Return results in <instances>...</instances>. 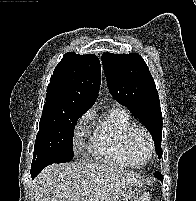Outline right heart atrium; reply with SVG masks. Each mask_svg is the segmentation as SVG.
Instances as JSON below:
<instances>
[{"label":"right heart atrium","instance_id":"obj_1","mask_svg":"<svg viewBox=\"0 0 196 201\" xmlns=\"http://www.w3.org/2000/svg\"><path fill=\"white\" fill-rule=\"evenodd\" d=\"M92 114L93 113L91 111H88L85 114H83L81 118L78 120L74 132V140L76 145H79L81 143L85 132V125L88 122V120L92 117Z\"/></svg>","mask_w":196,"mask_h":201}]
</instances>
